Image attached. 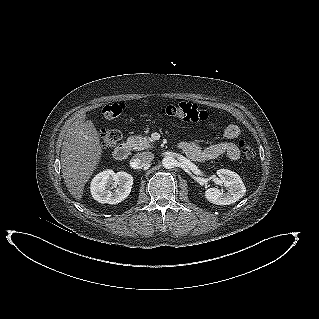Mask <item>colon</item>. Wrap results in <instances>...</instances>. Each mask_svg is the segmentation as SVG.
<instances>
[{"label":"colon","instance_id":"1","mask_svg":"<svg viewBox=\"0 0 319 319\" xmlns=\"http://www.w3.org/2000/svg\"><path fill=\"white\" fill-rule=\"evenodd\" d=\"M125 109L122 102L112 103L103 107L102 113L107 121H112L119 117ZM158 111L170 118L179 119L185 122H203L207 121L212 113L192 103H177L166 105ZM101 144L104 148H110L121 140V132L116 129H102L100 132ZM239 147L243 155L252 159L255 156V149L248 140H241Z\"/></svg>","mask_w":319,"mask_h":319}]
</instances>
